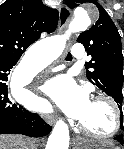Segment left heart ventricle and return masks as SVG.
<instances>
[{"mask_svg": "<svg viewBox=\"0 0 124 149\" xmlns=\"http://www.w3.org/2000/svg\"><path fill=\"white\" fill-rule=\"evenodd\" d=\"M80 122L95 133L106 134L114 126L112 109L106 102L92 101Z\"/></svg>", "mask_w": 124, "mask_h": 149, "instance_id": "obj_1", "label": "left heart ventricle"}]
</instances>
